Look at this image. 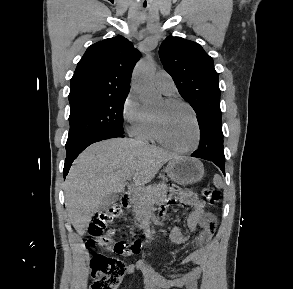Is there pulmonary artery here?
I'll return each instance as SVG.
<instances>
[{"label":"pulmonary artery","instance_id":"1","mask_svg":"<svg viewBox=\"0 0 293 289\" xmlns=\"http://www.w3.org/2000/svg\"><path fill=\"white\" fill-rule=\"evenodd\" d=\"M154 82L157 89L166 95L172 94L175 90V84L172 77L165 71L157 72Z\"/></svg>","mask_w":293,"mask_h":289}]
</instances>
